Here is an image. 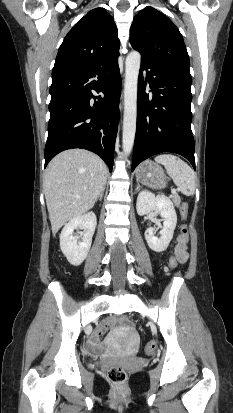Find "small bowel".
Masks as SVG:
<instances>
[{
    "instance_id": "1",
    "label": "small bowel",
    "mask_w": 233,
    "mask_h": 413,
    "mask_svg": "<svg viewBox=\"0 0 233 413\" xmlns=\"http://www.w3.org/2000/svg\"><path fill=\"white\" fill-rule=\"evenodd\" d=\"M186 244L187 240H183L180 235L177 237V244L175 246V254H177L178 257V262L180 263H185L188 259V255L186 252ZM117 322L116 318H108L106 319L98 328L97 334L94 335L89 342V347L90 350L94 354H100L103 352L104 348L102 345V342L100 340V334H102L105 330H107L109 327L113 326Z\"/></svg>"
}]
</instances>
